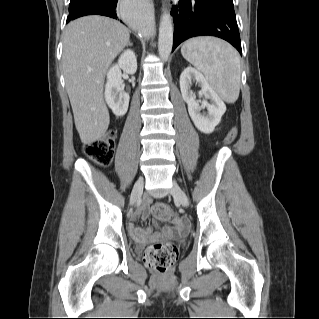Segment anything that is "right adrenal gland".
Instances as JSON below:
<instances>
[{
  "mask_svg": "<svg viewBox=\"0 0 319 319\" xmlns=\"http://www.w3.org/2000/svg\"><path fill=\"white\" fill-rule=\"evenodd\" d=\"M128 46H130V47H131V46H133V44H132L131 42H129V43H128Z\"/></svg>",
  "mask_w": 319,
  "mask_h": 319,
  "instance_id": "1",
  "label": "right adrenal gland"
}]
</instances>
